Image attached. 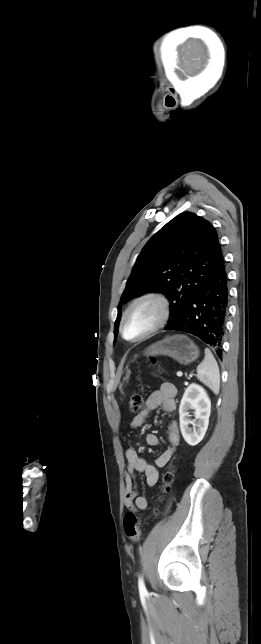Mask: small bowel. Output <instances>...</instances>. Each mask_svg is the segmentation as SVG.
Returning a JSON list of instances; mask_svg holds the SVG:
<instances>
[{"mask_svg":"<svg viewBox=\"0 0 261 644\" xmlns=\"http://www.w3.org/2000/svg\"><path fill=\"white\" fill-rule=\"evenodd\" d=\"M176 394L177 390L173 384L163 383L159 389L153 391L147 398L145 408L131 421V428L141 427L148 418L149 413L158 407H161L168 414L175 412ZM167 436L169 446L156 458L155 465L147 463L133 448H129L126 451L127 470L125 474L124 504L131 511L145 510L148 506L146 497L139 495L137 492L136 473H143L147 485L154 486L159 479L158 468L167 465L179 445V429L175 421L169 424ZM146 442L150 446H158L159 438L154 433H148Z\"/></svg>","mask_w":261,"mask_h":644,"instance_id":"small-bowel-1","label":"small bowel"}]
</instances>
